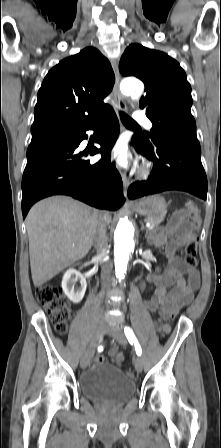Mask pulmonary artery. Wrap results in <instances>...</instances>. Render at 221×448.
Returning a JSON list of instances; mask_svg holds the SVG:
<instances>
[{
    "mask_svg": "<svg viewBox=\"0 0 221 448\" xmlns=\"http://www.w3.org/2000/svg\"><path fill=\"white\" fill-rule=\"evenodd\" d=\"M134 121L137 123H143L145 124L148 128L152 127V123L151 121L148 119V117L146 116V114L142 111H138L133 115Z\"/></svg>",
    "mask_w": 221,
    "mask_h": 448,
    "instance_id": "pulmonary-artery-1",
    "label": "pulmonary artery"
}]
</instances>
